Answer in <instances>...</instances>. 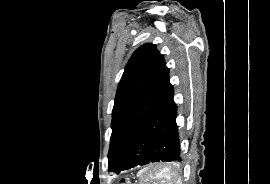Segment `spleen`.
<instances>
[{
    "label": "spleen",
    "instance_id": "obj_1",
    "mask_svg": "<svg viewBox=\"0 0 270 184\" xmlns=\"http://www.w3.org/2000/svg\"><path fill=\"white\" fill-rule=\"evenodd\" d=\"M140 184H182L177 173L170 167H147L139 172Z\"/></svg>",
    "mask_w": 270,
    "mask_h": 184
}]
</instances>
